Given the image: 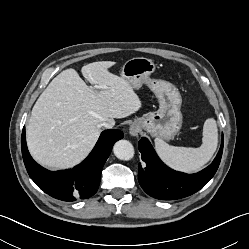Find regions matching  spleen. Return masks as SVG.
I'll return each mask as SVG.
<instances>
[{
    "instance_id": "obj_1",
    "label": "spleen",
    "mask_w": 249,
    "mask_h": 249,
    "mask_svg": "<svg viewBox=\"0 0 249 249\" xmlns=\"http://www.w3.org/2000/svg\"><path fill=\"white\" fill-rule=\"evenodd\" d=\"M154 143L159 157L169 167L185 173L198 172L209 162L216 151L217 124L213 118L205 121L202 145L198 148L171 146L159 138H156Z\"/></svg>"
}]
</instances>
